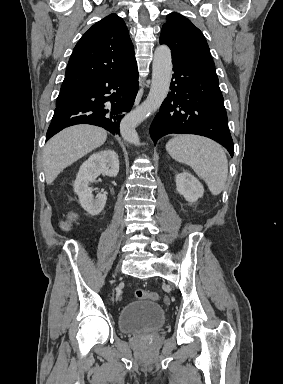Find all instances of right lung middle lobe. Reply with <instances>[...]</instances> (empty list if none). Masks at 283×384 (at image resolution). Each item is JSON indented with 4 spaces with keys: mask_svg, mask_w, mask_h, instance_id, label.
Here are the masks:
<instances>
[{
    "mask_svg": "<svg viewBox=\"0 0 283 384\" xmlns=\"http://www.w3.org/2000/svg\"><path fill=\"white\" fill-rule=\"evenodd\" d=\"M72 92H66V91H61L58 95V98H57V103L59 102H62L64 101L65 99H67L70 95H71Z\"/></svg>",
    "mask_w": 283,
    "mask_h": 384,
    "instance_id": "1",
    "label": "right lung middle lobe"
}]
</instances>
